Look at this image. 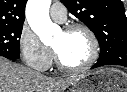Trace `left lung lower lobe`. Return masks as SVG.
<instances>
[{
  "label": "left lung lower lobe",
  "mask_w": 127,
  "mask_h": 92,
  "mask_svg": "<svg viewBox=\"0 0 127 92\" xmlns=\"http://www.w3.org/2000/svg\"><path fill=\"white\" fill-rule=\"evenodd\" d=\"M111 64L127 67V45L111 48L106 54L99 56L97 63L91 69Z\"/></svg>",
  "instance_id": "0a47b994"
}]
</instances>
